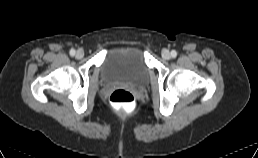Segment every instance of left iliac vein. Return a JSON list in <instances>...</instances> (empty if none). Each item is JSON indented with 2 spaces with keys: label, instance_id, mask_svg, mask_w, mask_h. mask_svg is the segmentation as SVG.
<instances>
[{
  "label": "left iliac vein",
  "instance_id": "4c4485c4",
  "mask_svg": "<svg viewBox=\"0 0 258 158\" xmlns=\"http://www.w3.org/2000/svg\"><path fill=\"white\" fill-rule=\"evenodd\" d=\"M162 57H163L164 59H166V60H169V59L171 58V54H170L169 50L164 49V50L162 51Z\"/></svg>",
  "mask_w": 258,
  "mask_h": 158
}]
</instances>
